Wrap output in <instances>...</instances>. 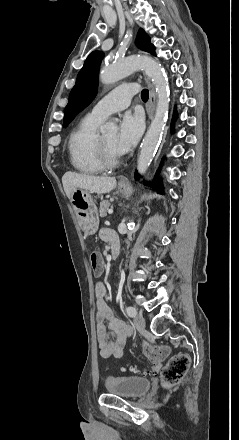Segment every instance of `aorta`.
<instances>
[{
	"instance_id": "1",
	"label": "aorta",
	"mask_w": 239,
	"mask_h": 440,
	"mask_svg": "<svg viewBox=\"0 0 239 440\" xmlns=\"http://www.w3.org/2000/svg\"><path fill=\"white\" fill-rule=\"evenodd\" d=\"M142 68L146 76L151 78L157 94V106L155 116L150 124V128L142 142L139 158L137 160V170L139 174H145L156 150L157 144L162 136L165 118L169 108L170 90L167 80L164 78V70L161 64L148 58V56H130L121 64H110L103 66L100 70L99 80L102 84H115L122 78H126L135 70ZM101 134L107 132H118L115 122H105L100 126ZM132 224V222H131Z\"/></svg>"
}]
</instances>
